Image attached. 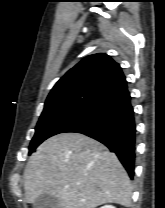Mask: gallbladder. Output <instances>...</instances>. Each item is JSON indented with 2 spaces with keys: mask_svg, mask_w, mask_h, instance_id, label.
<instances>
[{
  "mask_svg": "<svg viewBox=\"0 0 165 208\" xmlns=\"http://www.w3.org/2000/svg\"><path fill=\"white\" fill-rule=\"evenodd\" d=\"M33 208H61V205L56 197L43 194L34 201Z\"/></svg>",
  "mask_w": 165,
  "mask_h": 208,
  "instance_id": "gallbladder-1",
  "label": "gallbladder"
}]
</instances>
